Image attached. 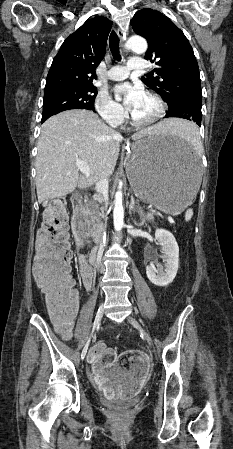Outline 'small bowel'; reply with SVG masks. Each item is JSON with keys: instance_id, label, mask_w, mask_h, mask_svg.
Masks as SVG:
<instances>
[{"instance_id": "c3829d8e", "label": "small bowel", "mask_w": 233, "mask_h": 449, "mask_svg": "<svg viewBox=\"0 0 233 449\" xmlns=\"http://www.w3.org/2000/svg\"><path fill=\"white\" fill-rule=\"evenodd\" d=\"M95 278L92 272H79L78 279L89 289ZM76 309L69 320L57 321L58 332L64 338L71 337V328ZM127 354L133 356L131 368H122L117 362V353L103 343L95 344L88 359L92 366L93 379L101 386V399H133L137 390L143 389V378L149 377L147 354H138L136 347H129Z\"/></svg>"}]
</instances>
